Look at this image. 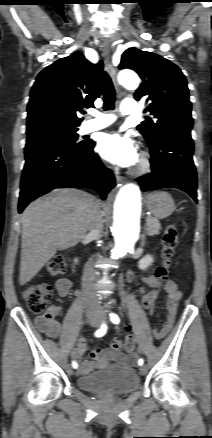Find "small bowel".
<instances>
[{
  "label": "small bowel",
  "mask_w": 212,
  "mask_h": 438,
  "mask_svg": "<svg viewBox=\"0 0 212 438\" xmlns=\"http://www.w3.org/2000/svg\"><path fill=\"white\" fill-rule=\"evenodd\" d=\"M129 279H133V275L129 274ZM142 281L150 287L157 288L161 284L155 276L143 277ZM56 288L61 297H66L69 294L71 288V282L66 278H61L56 283ZM163 289L167 293V314L165 322L162 326L155 330V335L158 338H163L171 330L175 317L177 314L178 304L182 297V293L178 289L177 285L172 281H167L163 285ZM141 294H145L144 289H140ZM61 309L59 306H51L45 314L38 317L37 323L39 328L46 333L49 337H58L61 327L57 321V316L60 314ZM87 345L84 339H79L77 347L73 351V356L76 359H80L86 352ZM91 357L93 359H104L109 358L122 363H133L138 354L134 353L131 355H125L122 351V344L119 340L114 341L107 348H95L91 351ZM94 368V363L92 361H84L79 369L80 375H86L90 373Z\"/></svg>",
  "instance_id": "c3829d8e"
}]
</instances>
